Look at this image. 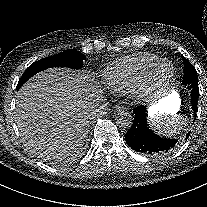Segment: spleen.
<instances>
[{
  "instance_id": "obj_1",
  "label": "spleen",
  "mask_w": 207,
  "mask_h": 207,
  "mask_svg": "<svg viewBox=\"0 0 207 207\" xmlns=\"http://www.w3.org/2000/svg\"><path fill=\"white\" fill-rule=\"evenodd\" d=\"M153 129L159 135L174 137L180 131V124L174 118L159 116L153 122Z\"/></svg>"
}]
</instances>
